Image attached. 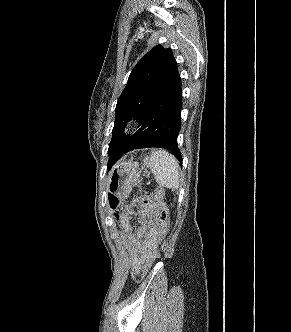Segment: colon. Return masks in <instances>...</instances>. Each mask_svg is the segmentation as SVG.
Returning <instances> with one entry per match:
<instances>
[{"label":"colon","mask_w":291,"mask_h":332,"mask_svg":"<svg viewBox=\"0 0 291 332\" xmlns=\"http://www.w3.org/2000/svg\"><path fill=\"white\" fill-rule=\"evenodd\" d=\"M163 198V190L158 188L155 191V198H152L149 195H142L139 204L140 215L143 219V223L145 225H150L153 223V221H156L160 227L161 238H164L167 235L169 227L168 214ZM117 203L118 201L116 198H109L110 207L115 208ZM115 217L117 220H121L122 223L127 222V218L125 216L120 217L117 213H115ZM156 257H158V251H155V253L147 258L144 263L135 268L136 279H141L146 274Z\"/></svg>","instance_id":"5ec220e1"}]
</instances>
